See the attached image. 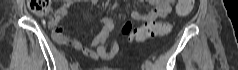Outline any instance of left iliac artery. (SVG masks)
Wrapping results in <instances>:
<instances>
[{"mask_svg":"<svg viewBox=\"0 0 238 70\" xmlns=\"http://www.w3.org/2000/svg\"><path fill=\"white\" fill-rule=\"evenodd\" d=\"M145 65H146V67L148 68V69H153L154 68V65L152 64V62L151 61H146L145 62Z\"/></svg>","mask_w":238,"mask_h":70,"instance_id":"44dca946","label":"left iliac artery"}]
</instances>
